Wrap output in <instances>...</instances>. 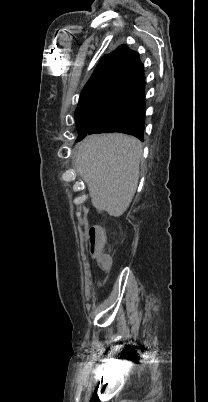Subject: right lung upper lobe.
<instances>
[{"label": "right lung upper lobe", "mask_w": 208, "mask_h": 402, "mask_svg": "<svg viewBox=\"0 0 208 402\" xmlns=\"http://www.w3.org/2000/svg\"><path fill=\"white\" fill-rule=\"evenodd\" d=\"M136 55V52L121 45L111 54L103 57L85 85L81 96L94 90H101L106 85L109 87Z\"/></svg>", "instance_id": "right-lung-upper-lobe-1"}]
</instances>
